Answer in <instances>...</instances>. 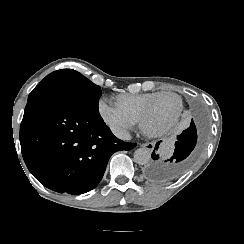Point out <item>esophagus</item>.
<instances>
[{
  "mask_svg": "<svg viewBox=\"0 0 244 244\" xmlns=\"http://www.w3.org/2000/svg\"><path fill=\"white\" fill-rule=\"evenodd\" d=\"M155 144L153 142H147V143H143L141 144V147L147 149L148 151L152 152L154 149Z\"/></svg>",
  "mask_w": 244,
  "mask_h": 244,
  "instance_id": "obj_1",
  "label": "esophagus"
}]
</instances>
